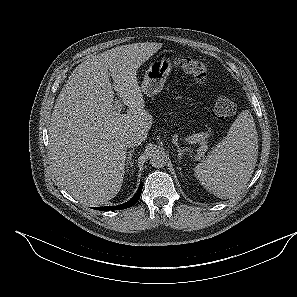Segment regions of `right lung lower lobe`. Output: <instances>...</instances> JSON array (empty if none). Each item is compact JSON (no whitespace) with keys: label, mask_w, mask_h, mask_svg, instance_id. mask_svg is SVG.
Instances as JSON below:
<instances>
[{"label":"right lung lower lobe","mask_w":297,"mask_h":297,"mask_svg":"<svg viewBox=\"0 0 297 297\" xmlns=\"http://www.w3.org/2000/svg\"><path fill=\"white\" fill-rule=\"evenodd\" d=\"M142 188H143V184L141 182L137 193L133 196V198L131 200H129L128 202H126L124 204H121V205H118V206L96 207L95 209H97V210H120V209L129 208V207L133 206L138 201V199L140 198Z\"/></svg>","instance_id":"1"}]
</instances>
